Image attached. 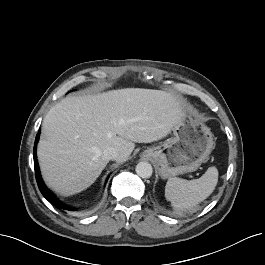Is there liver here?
Instances as JSON below:
<instances>
[{"label":"liver","instance_id":"1","mask_svg":"<svg viewBox=\"0 0 265 265\" xmlns=\"http://www.w3.org/2000/svg\"><path fill=\"white\" fill-rule=\"evenodd\" d=\"M183 107L170 93L142 88L64 98L42 123L37 155L45 182L64 196L87 189L109 161L104 150L113 147L116 160L126 161L134 143L158 141L181 123Z\"/></svg>","mask_w":265,"mask_h":265}]
</instances>
